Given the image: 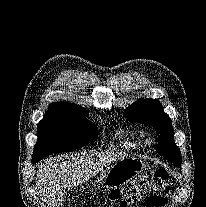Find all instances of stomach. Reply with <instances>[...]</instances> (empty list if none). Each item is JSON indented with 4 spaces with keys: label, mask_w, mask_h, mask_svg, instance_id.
<instances>
[{
    "label": "stomach",
    "mask_w": 206,
    "mask_h": 207,
    "mask_svg": "<svg viewBox=\"0 0 206 207\" xmlns=\"http://www.w3.org/2000/svg\"><path fill=\"white\" fill-rule=\"evenodd\" d=\"M146 164L135 157H126L112 165L104 174L102 184L107 188H117L140 174Z\"/></svg>",
    "instance_id": "0dacf381"
}]
</instances>
